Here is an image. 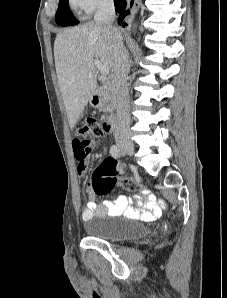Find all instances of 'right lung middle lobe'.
I'll return each mask as SVG.
<instances>
[{
  "instance_id": "1",
  "label": "right lung middle lobe",
  "mask_w": 227,
  "mask_h": 298,
  "mask_svg": "<svg viewBox=\"0 0 227 298\" xmlns=\"http://www.w3.org/2000/svg\"><path fill=\"white\" fill-rule=\"evenodd\" d=\"M56 22L58 25L62 26H70L79 23L68 7V0H60L58 10L56 12Z\"/></svg>"
}]
</instances>
